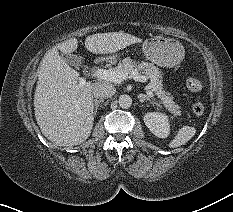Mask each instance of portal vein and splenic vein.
<instances>
[{"instance_id":"portal-vein-and-splenic-vein-1","label":"portal vein and splenic vein","mask_w":233,"mask_h":212,"mask_svg":"<svg viewBox=\"0 0 233 212\" xmlns=\"http://www.w3.org/2000/svg\"><path fill=\"white\" fill-rule=\"evenodd\" d=\"M92 76L103 79L107 81H111L114 83H121L122 81L128 78V74L126 72L116 71V70H106V69H97ZM131 78L135 81L146 82L147 78L144 75H140L137 71H132ZM86 80L84 78H80V84H84ZM147 95L149 97H153L154 94L151 90H147Z\"/></svg>"}]
</instances>
